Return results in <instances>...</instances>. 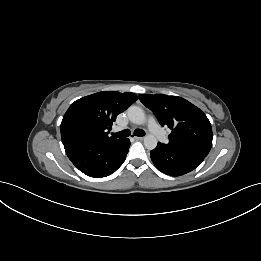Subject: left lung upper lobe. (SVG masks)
Returning <instances> with one entry per match:
<instances>
[{
  "mask_svg": "<svg viewBox=\"0 0 261 261\" xmlns=\"http://www.w3.org/2000/svg\"><path fill=\"white\" fill-rule=\"evenodd\" d=\"M140 101L172 132L169 143L175 149L207 156L212 146L211 124L202 110L178 96L140 94Z\"/></svg>",
  "mask_w": 261,
  "mask_h": 261,
  "instance_id": "obj_1",
  "label": "left lung upper lobe"
}]
</instances>
